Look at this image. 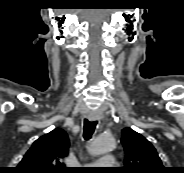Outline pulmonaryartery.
Here are the masks:
<instances>
[{"label": "pulmonary artery", "instance_id": "1", "mask_svg": "<svg viewBox=\"0 0 184 173\" xmlns=\"http://www.w3.org/2000/svg\"><path fill=\"white\" fill-rule=\"evenodd\" d=\"M114 164H115V160L113 156L106 155V156H103L99 162L91 165V169H96L97 166H103V168H110Z\"/></svg>", "mask_w": 184, "mask_h": 173}]
</instances>
